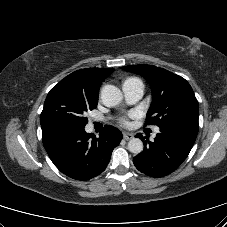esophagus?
Listing matches in <instances>:
<instances>
[{
  "instance_id": "34e87169",
  "label": "esophagus",
  "mask_w": 227,
  "mask_h": 227,
  "mask_svg": "<svg viewBox=\"0 0 227 227\" xmlns=\"http://www.w3.org/2000/svg\"><path fill=\"white\" fill-rule=\"evenodd\" d=\"M133 137H134V135H133L132 133H127V132L123 133V138H124L125 140H130V139H132Z\"/></svg>"
}]
</instances>
